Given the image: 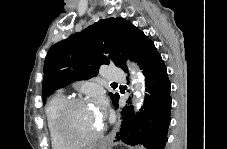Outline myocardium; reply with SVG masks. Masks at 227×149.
Returning a JSON list of instances; mask_svg holds the SVG:
<instances>
[{
    "label": "myocardium",
    "mask_w": 227,
    "mask_h": 149,
    "mask_svg": "<svg viewBox=\"0 0 227 149\" xmlns=\"http://www.w3.org/2000/svg\"><path fill=\"white\" fill-rule=\"evenodd\" d=\"M87 102L85 98L77 97L67 99L59 108L56 116V126L61 139L70 146H88L93 145L104 133L105 124L101 125L100 130L87 138H77L67 132V118L68 114L76 105Z\"/></svg>",
    "instance_id": "1"
}]
</instances>
